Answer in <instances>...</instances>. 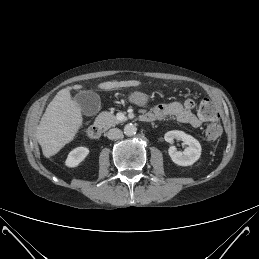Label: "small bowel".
<instances>
[{
  "label": "small bowel",
  "mask_w": 259,
  "mask_h": 259,
  "mask_svg": "<svg viewBox=\"0 0 259 259\" xmlns=\"http://www.w3.org/2000/svg\"><path fill=\"white\" fill-rule=\"evenodd\" d=\"M195 107L196 104L192 99H187L184 102L172 101L158 104L154 110L148 114L152 115L154 120L174 117L180 123L197 128L210 119L201 114L200 111L196 113Z\"/></svg>",
  "instance_id": "small-bowel-1"
}]
</instances>
